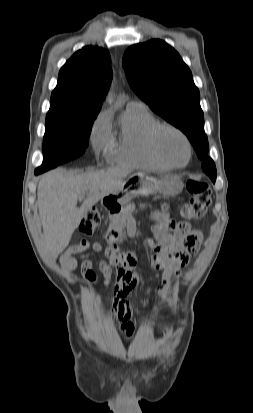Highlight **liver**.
Masks as SVG:
<instances>
[{
    "label": "liver",
    "instance_id": "6515ba94",
    "mask_svg": "<svg viewBox=\"0 0 253 413\" xmlns=\"http://www.w3.org/2000/svg\"><path fill=\"white\" fill-rule=\"evenodd\" d=\"M128 172L119 168L66 172L55 169L44 174L38 185L37 204L43 227L44 246L54 259L68 246L84 212L100 199L117 191ZM87 194L77 208V200Z\"/></svg>",
    "mask_w": 253,
    "mask_h": 413
}]
</instances>
